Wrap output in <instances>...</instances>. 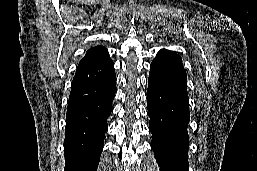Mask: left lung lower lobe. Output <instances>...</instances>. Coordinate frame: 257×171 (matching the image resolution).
<instances>
[{"label":"left lung lower lobe","mask_w":257,"mask_h":171,"mask_svg":"<svg viewBox=\"0 0 257 171\" xmlns=\"http://www.w3.org/2000/svg\"><path fill=\"white\" fill-rule=\"evenodd\" d=\"M148 80L149 127L155 158L161 171H188L190 113L182 58L160 50L151 63Z\"/></svg>","instance_id":"left-lung-lower-lobe-1"}]
</instances>
